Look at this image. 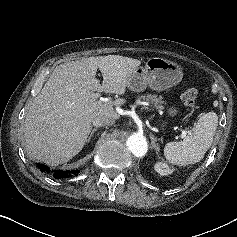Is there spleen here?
Masks as SVG:
<instances>
[{"instance_id": "spleen-1", "label": "spleen", "mask_w": 237, "mask_h": 237, "mask_svg": "<svg viewBox=\"0 0 237 237\" xmlns=\"http://www.w3.org/2000/svg\"><path fill=\"white\" fill-rule=\"evenodd\" d=\"M217 126V114L214 111L204 113L183 141L165 145V158L178 166L200 162L212 144Z\"/></svg>"}]
</instances>
